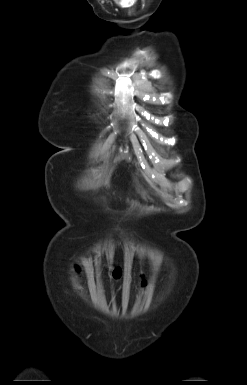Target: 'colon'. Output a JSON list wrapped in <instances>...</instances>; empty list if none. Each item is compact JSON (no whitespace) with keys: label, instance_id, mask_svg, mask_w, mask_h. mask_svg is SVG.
Segmentation results:
<instances>
[{"label":"colon","instance_id":"obj_1","mask_svg":"<svg viewBox=\"0 0 247 385\" xmlns=\"http://www.w3.org/2000/svg\"><path fill=\"white\" fill-rule=\"evenodd\" d=\"M113 275H114V277H116V278L120 277V275H121L120 269H118V268L114 269Z\"/></svg>","mask_w":247,"mask_h":385}]
</instances>
